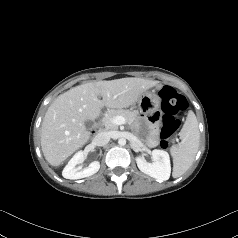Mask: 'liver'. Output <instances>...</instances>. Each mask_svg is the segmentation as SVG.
I'll list each match as a JSON object with an SVG mask.
<instances>
[{
	"instance_id": "obj_1",
	"label": "liver",
	"mask_w": 238,
	"mask_h": 238,
	"mask_svg": "<svg viewBox=\"0 0 238 238\" xmlns=\"http://www.w3.org/2000/svg\"><path fill=\"white\" fill-rule=\"evenodd\" d=\"M157 84L158 81L142 78H121L85 83L59 95L42 122L41 147L45 159L53 166L60 165L90 139L85 121L95 120L104 106L121 109L135 104Z\"/></svg>"
}]
</instances>
